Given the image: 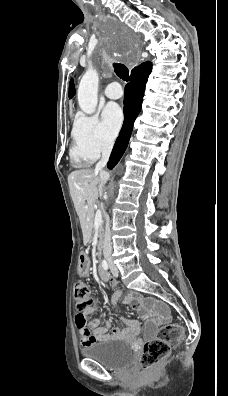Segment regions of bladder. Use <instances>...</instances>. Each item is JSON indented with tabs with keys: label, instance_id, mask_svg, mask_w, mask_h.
<instances>
[{
	"label": "bladder",
	"instance_id": "1",
	"mask_svg": "<svg viewBox=\"0 0 228 396\" xmlns=\"http://www.w3.org/2000/svg\"><path fill=\"white\" fill-rule=\"evenodd\" d=\"M81 354L111 370L124 369L133 361V350L130 344L122 339L89 344L81 349Z\"/></svg>",
	"mask_w": 228,
	"mask_h": 396
}]
</instances>
